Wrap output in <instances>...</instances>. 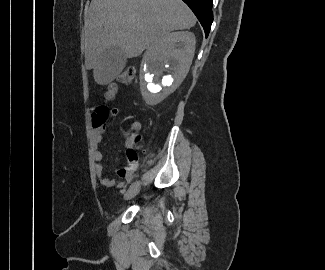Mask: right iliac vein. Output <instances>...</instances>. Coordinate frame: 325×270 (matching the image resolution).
<instances>
[{
    "label": "right iliac vein",
    "mask_w": 325,
    "mask_h": 270,
    "mask_svg": "<svg viewBox=\"0 0 325 270\" xmlns=\"http://www.w3.org/2000/svg\"><path fill=\"white\" fill-rule=\"evenodd\" d=\"M140 191V187L139 186H135L132 188H129L126 193L124 194V199L125 200H129L132 199L133 197H135Z\"/></svg>",
    "instance_id": "obj_1"
}]
</instances>
